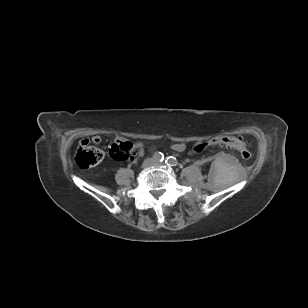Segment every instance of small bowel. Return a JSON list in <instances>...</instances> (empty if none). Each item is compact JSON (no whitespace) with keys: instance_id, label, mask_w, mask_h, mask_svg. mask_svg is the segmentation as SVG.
I'll use <instances>...</instances> for the list:
<instances>
[{"instance_id":"small-bowel-1","label":"small bowel","mask_w":308,"mask_h":308,"mask_svg":"<svg viewBox=\"0 0 308 308\" xmlns=\"http://www.w3.org/2000/svg\"><path fill=\"white\" fill-rule=\"evenodd\" d=\"M85 140H88V139H85ZM89 141V140H88ZM91 141L94 143V144H100L102 139H101V136L99 135H94L92 138H91ZM120 141H123L124 143L127 142L129 144H131L130 142L128 141H125V140H122L120 139ZM200 144V143H196L193 148L190 150V153H194L195 152V147ZM171 149L174 150V151H177V152H183L185 149H186V145L185 143L183 142H176V143H173L171 145ZM136 150V149H135ZM144 154V146H141L140 145V149L137 150V153L135 156H142Z\"/></svg>"}]
</instances>
